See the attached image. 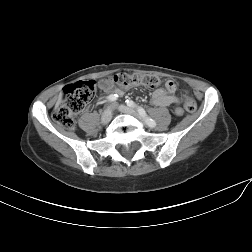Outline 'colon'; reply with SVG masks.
<instances>
[{"label":"colon","mask_w":252,"mask_h":252,"mask_svg":"<svg viewBox=\"0 0 252 252\" xmlns=\"http://www.w3.org/2000/svg\"><path fill=\"white\" fill-rule=\"evenodd\" d=\"M106 82L121 90L136 84L148 87H158L163 84L161 78L142 73H118L108 77ZM165 85L173 87L175 84L167 81ZM96 91L97 85L92 80L69 85L64 90L61 101L54 108L53 119L64 128L73 129L75 116L96 96ZM184 106L188 112H194L197 107L195 100L187 93H184ZM177 113H181V110H177Z\"/></svg>","instance_id":"1"}]
</instances>
